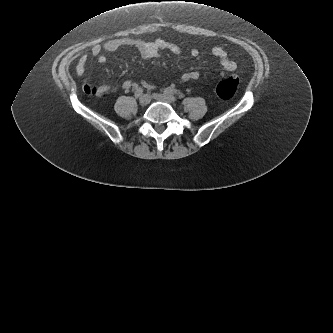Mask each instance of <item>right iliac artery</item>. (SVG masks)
Returning <instances> with one entry per match:
<instances>
[{"label": "right iliac artery", "instance_id": "right-iliac-artery-1", "mask_svg": "<svg viewBox=\"0 0 333 333\" xmlns=\"http://www.w3.org/2000/svg\"><path fill=\"white\" fill-rule=\"evenodd\" d=\"M142 93H143V89L141 87L137 88L136 92H135V97L141 96Z\"/></svg>", "mask_w": 333, "mask_h": 333}]
</instances>
